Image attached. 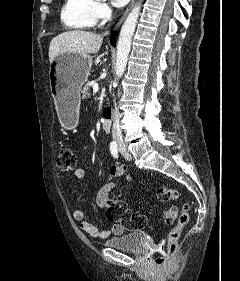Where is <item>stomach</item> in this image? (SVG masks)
<instances>
[{
  "instance_id": "stomach-1",
  "label": "stomach",
  "mask_w": 240,
  "mask_h": 281,
  "mask_svg": "<svg viewBox=\"0 0 240 281\" xmlns=\"http://www.w3.org/2000/svg\"><path fill=\"white\" fill-rule=\"evenodd\" d=\"M92 57L78 53L59 55L49 67L51 95L62 125L74 128L78 124L80 90L87 81Z\"/></svg>"
}]
</instances>
